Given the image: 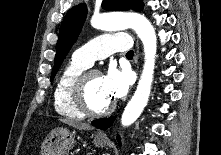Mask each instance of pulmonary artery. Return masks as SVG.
<instances>
[{
  "instance_id": "pulmonary-artery-1",
  "label": "pulmonary artery",
  "mask_w": 221,
  "mask_h": 155,
  "mask_svg": "<svg viewBox=\"0 0 221 155\" xmlns=\"http://www.w3.org/2000/svg\"><path fill=\"white\" fill-rule=\"evenodd\" d=\"M131 47L130 37L124 33L103 34L90 40L73 54V59L90 67L95 60L115 52H127Z\"/></svg>"
}]
</instances>
